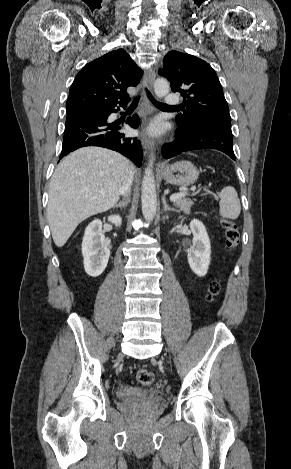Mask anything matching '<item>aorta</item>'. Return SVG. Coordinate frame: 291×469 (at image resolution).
<instances>
[{
  "label": "aorta",
  "instance_id": "1",
  "mask_svg": "<svg viewBox=\"0 0 291 469\" xmlns=\"http://www.w3.org/2000/svg\"><path fill=\"white\" fill-rule=\"evenodd\" d=\"M170 91L167 80L159 78L154 83V92L158 98L166 96ZM142 213L147 221H152L156 215L157 198L156 185L153 173V160L151 159L143 177L141 188Z\"/></svg>",
  "mask_w": 291,
  "mask_h": 469
}]
</instances>
